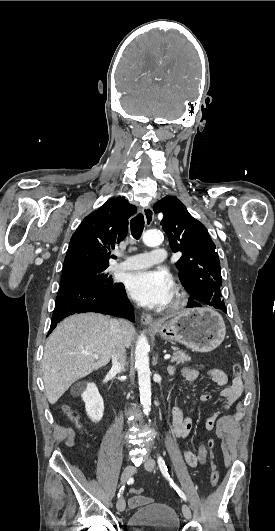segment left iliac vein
<instances>
[{"instance_id":"1","label":"left iliac vein","mask_w":275,"mask_h":531,"mask_svg":"<svg viewBox=\"0 0 275 531\" xmlns=\"http://www.w3.org/2000/svg\"><path fill=\"white\" fill-rule=\"evenodd\" d=\"M155 465H156V462L152 459V458H148L145 462H144V467L148 470V471H154L155 469ZM182 512H183V515L184 517L187 519V520H191V509L188 505L186 504H183L182 505Z\"/></svg>"}]
</instances>
